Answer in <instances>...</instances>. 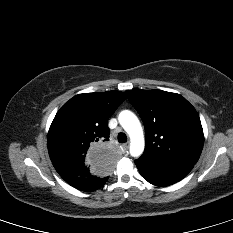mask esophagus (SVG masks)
<instances>
[{
	"instance_id": "esophagus-1",
	"label": "esophagus",
	"mask_w": 233,
	"mask_h": 233,
	"mask_svg": "<svg viewBox=\"0 0 233 233\" xmlns=\"http://www.w3.org/2000/svg\"><path fill=\"white\" fill-rule=\"evenodd\" d=\"M121 147H122L123 152H127V150L129 149V144L125 143Z\"/></svg>"
}]
</instances>
